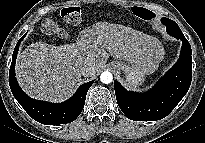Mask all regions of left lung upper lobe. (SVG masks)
Listing matches in <instances>:
<instances>
[{
    "label": "left lung upper lobe",
    "instance_id": "5c2ea615",
    "mask_svg": "<svg viewBox=\"0 0 205 143\" xmlns=\"http://www.w3.org/2000/svg\"><path fill=\"white\" fill-rule=\"evenodd\" d=\"M161 21L164 25H174L175 24L173 20L168 19V18H162Z\"/></svg>",
    "mask_w": 205,
    "mask_h": 143
}]
</instances>
